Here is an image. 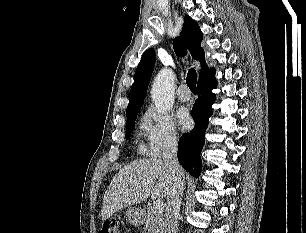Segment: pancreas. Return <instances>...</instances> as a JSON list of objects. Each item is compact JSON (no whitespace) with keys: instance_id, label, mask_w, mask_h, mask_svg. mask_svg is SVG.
<instances>
[{"instance_id":"1","label":"pancreas","mask_w":306,"mask_h":233,"mask_svg":"<svg viewBox=\"0 0 306 233\" xmlns=\"http://www.w3.org/2000/svg\"><path fill=\"white\" fill-rule=\"evenodd\" d=\"M147 213L145 228L148 230V233H166L163 211L148 207Z\"/></svg>"}]
</instances>
